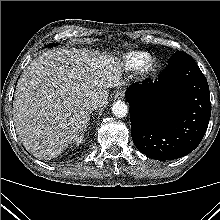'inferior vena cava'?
<instances>
[{
    "label": "inferior vena cava",
    "mask_w": 220,
    "mask_h": 220,
    "mask_svg": "<svg viewBox=\"0 0 220 220\" xmlns=\"http://www.w3.org/2000/svg\"><path fill=\"white\" fill-rule=\"evenodd\" d=\"M102 104V99L98 95H93L90 98V101L88 102V106L92 109L95 110L97 109L100 105Z\"/></svg>",
    "instance_id": "obj_1"
}]
</instances>
